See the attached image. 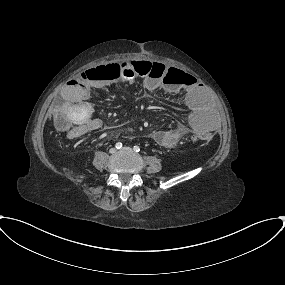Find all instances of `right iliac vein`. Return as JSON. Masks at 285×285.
<instances>
[{"mask_svg": "<svg viewBox=\"0 0 285 285\" xmlns=\"http://www.w3.org/2000/svg\"><path fill=\"white\" fill-rule=\"evenodd\" d=\"M116 152V149L115 148H111L110 150H109V153L110 154H114Z\"/></svg>", "mask_w": 285, "mask_h": 285, "instance_id": "63e3f726", "label": "right iliac vein"}]
</instances>
